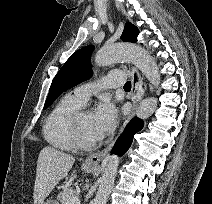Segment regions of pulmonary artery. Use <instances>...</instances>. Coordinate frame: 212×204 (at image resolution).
<instances>
[{
    "label": "pulmonary artery",
    "instance_id": "1",
    "mask_svg": "<svg viewBox=\"0 0 212 204\" xmlns=\"http://www.w3.org/2000/svg\"><path fill=\"white\" fill-rule=\"evenodd\" d=\"M125 81V74L121 72L110 73L96 82L81 85L73 90V97L81 104H85L92 93L108 88H115L121 86Z\"/></svg>",
    "mask_w": 212,
    "mask_h": 204
}]
</instances>
